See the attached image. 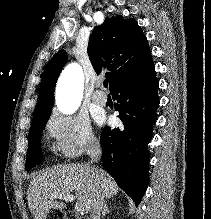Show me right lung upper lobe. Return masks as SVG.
Returning a JSON list of instances; mask_svg holds the SVG:
<instances>
[{
    "instance_id": "obj_1",
    "label": "right lung upper lobe",
    "mask_w": 211,
    "mask_h": 219,
    "mask_svg": "<svg viewBox=\"0 0 211 219\" xmlns=\"http://www.w3.org/2000/svg\"><path fill=\"white\" fill-rule=\"evenodd\" d=\"M88 56L97 74L106 72L110 90L122 77L152 59L147 39L137 21L125 20L122 16L106 18L93 30ZM66 62L67 54L61 50L47 64L34 116L51 113L57 78Z\"/></svg>"
}]
</instances>
